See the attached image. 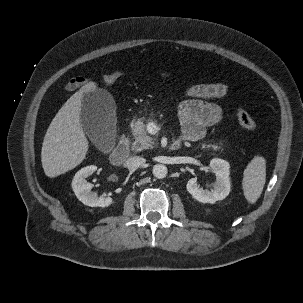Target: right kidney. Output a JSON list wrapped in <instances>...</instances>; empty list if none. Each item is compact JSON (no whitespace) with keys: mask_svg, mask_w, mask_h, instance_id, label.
Returning <instances> with one entry per match:
<instances>
[{"mask_svg":"<svg viewBox=\"0 0 303 303\" xmlns=\"http://www.w3.org/2000/svg\"><path fill=\"white\" fill-rule=\"evenodd\" d=\"M97 170L94 165L86 166L79 170L72 181V189L76 197L85 205L91 207H107L112 204L110 197H97L91 192L92 184L88 183L86 178Z\"/></svg>","mask_w":303,"mask_h":303,"instance_id":"ca27d5eb","label":"right kidney"}]
</instances>
